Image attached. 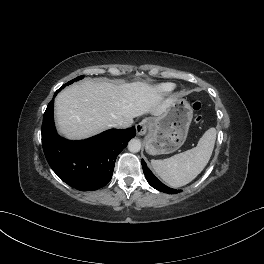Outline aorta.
<instances>
[{
  "label": "aorta",
  "mask_w": 264,
  "mask_h": 264,
  "mask_svg": "<svg viewBox=\"0 0 264 264\" xmlns=\"http://www.w3.org/2000/svg\"><path fill=\"white\" fill-rule=\"evenodd\" d=\"M140 148H141V142L139 139H131L128 143V150L130 152H138L140 151Z\"/></svg>",
  "instance_id": "1"
}]
</instances>
